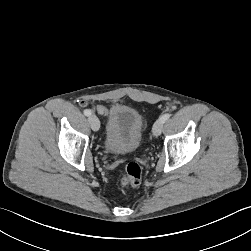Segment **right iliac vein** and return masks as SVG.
I'll return each mask as SVG.
<instances>
[{
    "instance_id": "obj_1",
    "label": "right iliac vein",
    "mask_w": 251,
    "mask_h": 251,
    "mask_svg": "<svg viewBox=\"0 0 251 251\" xmlns=\"http://www.w3.org/2000/svg\"><path fill=\"white\" fill-rule=\"evenodd\" d=\"M89 124L94 131H98L100 128L99 119L95 115H90L88 118Z\"/></svg>"
}]
</instances>
